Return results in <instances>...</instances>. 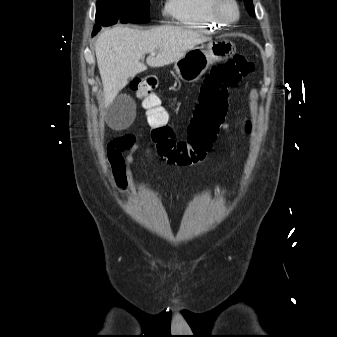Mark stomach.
<instances>
[{"mask_svg": "<svg viewBox=\"0 0 337 337\" xmlns=\"http://www.w3.org/2000/svg\"><path fill=\"white\" fill-rule=\"evenodd\" d=\"M235 51L234 44L227 39L209 41L188 50L174 63L177 76L185 82L197 81L217 61L229 57Z\"/></svg>", "mask_w": 337, "mask_h": 337, "instance_id": "1", "label": "stomach"}]
</instances>
